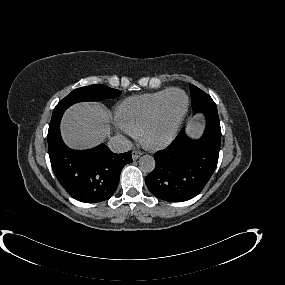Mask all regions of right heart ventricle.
<instances>
[{
	"mask_svg": "<svg viewBox=\"0 0 285 285\" xmlns=\"http://www.w3.org/2000/svg\"><path fill=\"white\" fill-rule=\"evenodd\" d=\"M169 90L131 96L123 100L118 107V116L123 125L134 134H140Z\"/></svg>",
	"mask_w": 285,
	"mask_h": 285,
	"instance_id": "1",
	"label": "right heart ventricle"
}]
</instances>
